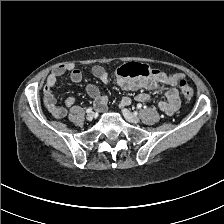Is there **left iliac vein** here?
Here are the masks:
<instances>
[{
    "label": "left iliac vein",
    "mask_w": 224,
    "mask_h": 224,
    "mask_svg": "<svg viewBox=\"0 0 224 224\" xmlns=\"http://www.w3.org/2000/svg\"><path fill=\"white\" fill-rule=\"evenodd\" d=\"M122 113L124 115V117L131 123H139L140 119L137 115L133 114L132 112H130L128 109H122Z\"/></svg>",
    "instance_id": "obj_1"
}]
</instances>
